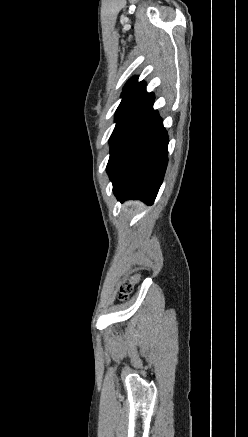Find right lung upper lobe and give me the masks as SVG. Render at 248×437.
Masks as SVG:
<instances>
[{
	"label": "right lung upper lobe",
	"mask_w": 248,
	"mask_h": 437,
	"mask_svg": "<svg viewBox=\"0 0 248 437\" xmlns=\"http://www.w3.org/2000/svg\"><path fill=\"white\" fill-rule=\"evenodd\" d=\"M145 82L141 81L138 82V77H133L131 78L125 85V87L123 88V93L122 96L126 97V96H130V95H140L144 90H145Z\"/></svg>",
	"instance_id": "obj_1"
}]
</instances>
